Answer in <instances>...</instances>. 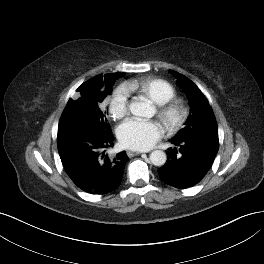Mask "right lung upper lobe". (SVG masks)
<instances>
[{"label": "right lung upper lobe", "instance_id": "obj_1", "mask_svg": "<svg viewBox=\"0 0 264 264\" xmlns=\"http://www.w3.org/2000/svg\"><path fill=\"white\" fill-rule=\"evenodd\" d=\"M120 73H112V74H106L104 77L102 75H98L92 79H90L89 81L85 82V83H92L98 80H102L103 82L110 80L111 78H114L115 76H117ZM84 83V84H85Z\"/></svg>", "mask_w": 264, "mask_h": 264}]
</instances>
